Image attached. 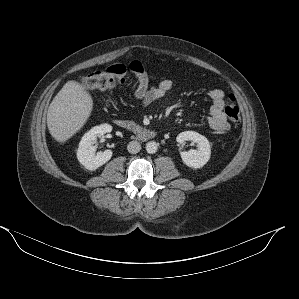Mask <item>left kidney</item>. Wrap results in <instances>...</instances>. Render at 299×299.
<instances>
[{"label": "left kidney", "mask_w": 299, "mask_h": 299, "mask_svg": "<svg viewBox=\"0 0 299 299\" xmlns=\"http://www.w3.org/2000/svg\"><path fill=\"white\" fill-rule=\"evenodd\" d=\"M177 142L184 144L186 141H192L197 144L198 149L181 152L183 163L193 169L202 168L210 159L211 147L208 139L195 131L181 132L177 138Z\"/></svg>", "instance_id": "left-kidney-1"}]
</instances>
